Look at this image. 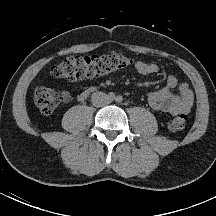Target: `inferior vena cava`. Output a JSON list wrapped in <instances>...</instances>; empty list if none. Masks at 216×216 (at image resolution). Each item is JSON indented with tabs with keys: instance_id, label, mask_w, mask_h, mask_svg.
I'll return each instance as SVG.
<instances>
[{
	"instance_id": "1",
	"label": "inferior vena cava",
	"mask_w": 216,
	"mask_h": 216,
	"mask_svg": "<svg viewBox=\"0 0 216 216\" xmlns=\"http://www.w3.org/2000/svg\"><path fill=\"white\" fill-rule=\"evenodd\" d=\"M91 102L95 107H103L110 103V98L104 92H95L91 96Z\"/></svg>"
}]
</instances>
